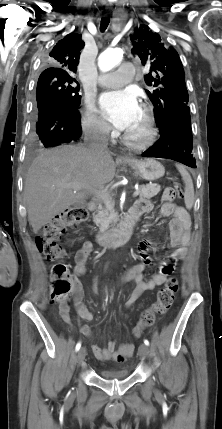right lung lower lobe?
I'll use <instances>...</instances> for the list:
<instances>
[{"label": "right lung lower lobe", "instance_id": "right-lung-lower-lobe-1", "mask_svg": "<svg viewBox=\"0 0 222 429\" xmlns=\"http://www.w3.org/2000/svg\"><path fill=\"white\" fill-rule=\"evenodd\" d=\"M36 133L45 147L77 140L82 134L78 107L60 97L47 100L38 109Z\"/></svg>", "mask_w": 222, "mask_h": 429}]
</instances>
